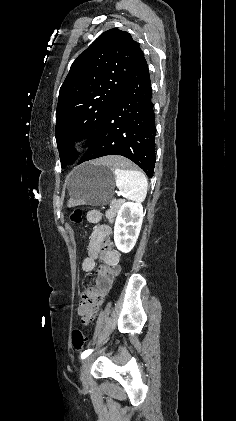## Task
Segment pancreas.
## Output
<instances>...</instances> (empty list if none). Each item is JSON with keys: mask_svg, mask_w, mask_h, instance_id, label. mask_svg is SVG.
Returning <instances> with one entry per match:
<instances>
[{"mask_svg": "<svg viewBox=\"0 0 236 421\" xmlns=\"http://www.w3.org/2000/svg\"><path fill=\"white\" fill-rule=\"evenodd\" d=\"M123 200H112L110 208L106 211V219H108L109 223H114V217H116V213H118V208H120Z\"/></svg>", "mask_w": 236, "mask_h": 421, "instance_id": "cf45deb5", "label": "pancreas"}]
</instances>
